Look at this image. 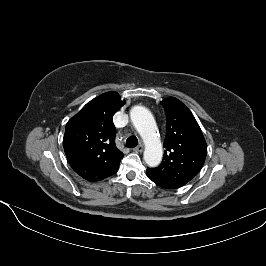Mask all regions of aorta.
<instances>
[{
  "instance_id": "762f6f07",
  "label": "aorta",
  "mask_w": 266,
  "mask_h": 266,
  "mask_svg": "<svg viewBox=\"0 0 266 266\" xmlns=\"http://www.w3.org/2000/svg\"><path fill=\"white\" fill-rule=\"evenodd\" d=\"M130 118L144 141V160L146 164L150 167L159 165L162 160L163 150L153 116L145 107L134 106L130 110Z\"/></svg>"
}]
</instances>
